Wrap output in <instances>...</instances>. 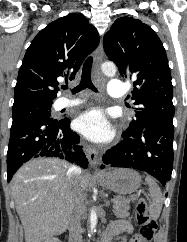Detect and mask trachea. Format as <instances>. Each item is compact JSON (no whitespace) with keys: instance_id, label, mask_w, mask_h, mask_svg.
I'll return each instance as SVG.
<instances>
[{"instance_id":"obj_1","label":"trachea","mask_w":187,"mask_h":242,"mask_svg":"<svg viewBox=\"0 0 187 242\" xmlns=\"http://www.w3.org/2000/svg\"><path fill=\"white\" fill-rule=\"evenodd\" d=\"M93 58L88 57L86 61L84 62L83 69H82V76H81V82L78 86H76L72 90V94L78 93L81 90H84L86 88H89L93 90L94 92H97V89L94 87L91 81V68H92ZM62 89H68V86H62Z\"/></svg>"}]
</instances>
